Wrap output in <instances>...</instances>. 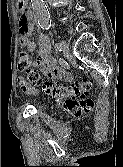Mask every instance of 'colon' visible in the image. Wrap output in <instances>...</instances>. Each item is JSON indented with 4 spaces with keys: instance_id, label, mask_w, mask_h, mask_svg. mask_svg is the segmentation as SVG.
Masks as SVG:
<instances>
[{
    "instance_id": "colon-1",
    "label": "colon",
    "mask_w": 123,
    "mask_h": 167,
    "mask_svg": "<svg viewBox=\"0 0 123 167\" xmlns=\"http://www.w3.org/2000/svg\"><path fill=\"white\" fill-rule=\"evenodd\" d=\"M18 65L21 70H26V82L41 89L42 92L64 100V107L74 116H80L91 110L93 102L87 97L93 84L90 79H82L75 83L50 82L44 80L37 70L29 69L30 57L22 51L18 55Z\"/></svg>"
}]
</instances>
